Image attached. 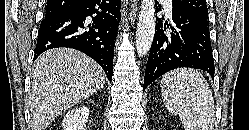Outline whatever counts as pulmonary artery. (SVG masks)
I'll list each match as a JSON object with an SVG mask.
<instances>
[{
  "instance_id": "obj_1",
  "label": "pulmonary artery",
  "mask_w": 249,
  "mask_h": 130,
  "mask_svg": "<svg viewBox=\"0 0 249 130\" xmlns=\"http://www.w3.org/2000/svg\"><path fill=\"white\" fill-rule=\"evenodd\" d=\"M168 14L172 13V2L171 0H161Z\"/></svg>"
}]
</instances>
